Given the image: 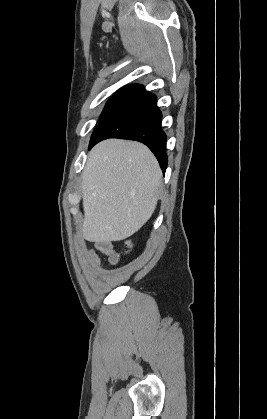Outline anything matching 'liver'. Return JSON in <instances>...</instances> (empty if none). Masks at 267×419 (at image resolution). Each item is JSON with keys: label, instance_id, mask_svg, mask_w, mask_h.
Here are the masks:
<instances>
[{"label": "liver", "instance_id": "1", "mask_svg": "<svg viewBox=\"0 0 267 419\" xmlns=\"http://www.w3.org/2000/svg\"><path fill=\"white\" fill-rule=\"evenodd\" d=\"M162 172L139 142L108 139L88 154L82 174L83 236L91 242L121 241L152 216Z\"/></svg>", "mask_w": 267, "mask_h": 419}]
</instances>
